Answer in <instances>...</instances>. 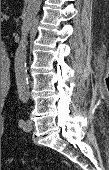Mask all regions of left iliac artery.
Segmentation results:
<instances>
[{
    "label": "left iliac artery",
    "instance_id": "obj_1",
    "mask_svg": "<svg viewBox=\"0 0 109 170\" xmlns=\"http://www.w3.org/2000/svg\"><path fill=\"white\" fill-rule=\"evenodd\" d=\"M24 124H25V121L23 119L19 120L18 122L19 127H23Z\"/></svg>",
    "mask_w": 109,
    "mask_h": 170
}]
</instances>
